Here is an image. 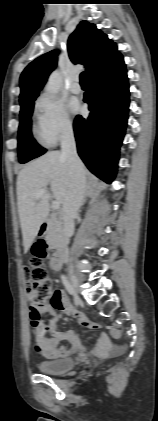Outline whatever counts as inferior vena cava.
I'll return each instance as SVG.
<instances>
[{
    "label": "inferior vena cava",
    "instance_id": "1",
    "mask_svg": "<svg viewBox=\"0 0 158 421\" xmlns=\"http://www.w3.org/2000/svg\"><path fill=\"white\" fill-rule=\"evenodd\" d=\"M61 153L67 159L70 185L63 200V233L69 238L74 233V218L86 193V170L76 150L72 126L64 127L61 136Z\"/></svg>",
    "mask_w": 158,
    "mask_h": 421
}]
</instances>
